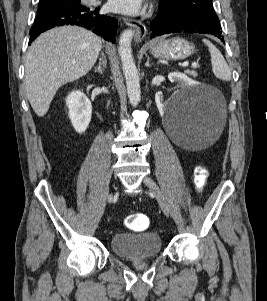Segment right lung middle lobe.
I'll return each instance as SVG.
<instances>
[{
  "mask_svg": "<svg viewBox=\"0 0 267 301\" xmlns=\"http://www.w3.org/2000/svg\"><path fill=\"white\" fill-rule=\"evenodd\" d=\"M81 0H40L37 13L60 8L67 4L79 3Z\"/></svg>",
  "mask_w": 267,
  "mask_h": 301,
  "instance_id": "1",
  "label": "right lung middle lobe"
}]
</instances>
